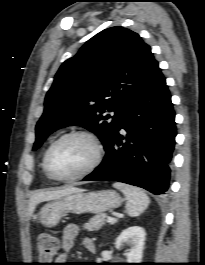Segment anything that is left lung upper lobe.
<instances>
[{"label":"left lung upper lobe","mask_w":205,"mask_h":265,"mask_svg":"<svg viewBox=\"0 0 205 265\" xmlns=\"http://www.w3.org/2000/svg\"><path fill=\"white\" fill-rule=\"evenodd\" d=\"M157 63L150 46L129 29L111 27L92 37L56 73L33 150L50 133L70 125L94 132L106 149L122 109ZM112 111L113 117L106 115Z\"/></svg>","instance_id":"left-lung-upper-lobe-1"}]
</instances>
